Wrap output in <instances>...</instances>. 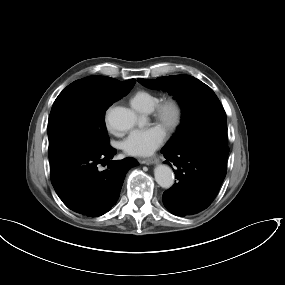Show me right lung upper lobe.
Instances as JSON below:
<instances>
[{
    "instance_id": "right-lung-upper-lobe-1",
    "label": "right lung upper lobe",
    "mask_w": 285,
    "mask_h": 285,
    "mask_svg": "<svg viewBox=\"0 0 285 285\" xmlns=\"http://www.w3.org/2000/svg\"><path fill=\"white\" fill-rule=\"evenodd\" d=\"M97 77H100V78L110 82L112 85H114L119 90L124 91V92H129L136 82L135 79H130V80L121 82V81H118V80H116L114 78H110V77H105V76H97Z\"/></svg>"
}]
</instances>
